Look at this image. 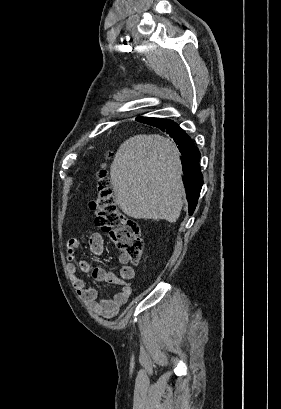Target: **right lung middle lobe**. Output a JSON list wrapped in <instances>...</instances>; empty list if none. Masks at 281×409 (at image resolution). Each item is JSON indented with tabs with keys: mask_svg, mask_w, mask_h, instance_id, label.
I'll list each match as a JSON object with an SVG mask.
<instances>
[{
	"mask_svg": "<svg viewBox=\"0 0 281 409\" xmlns=\"http://www.w3.org/2000/svg\"><path fill=\"white\" fill-rule=\"evenodd\" d=\"M145 123L158 127L161 130H164L167 126L173 124L174 122L171 120H165V119H160V118H151L147 120Z\"/></svg>",
	"mask_w": 281,
	"mask_h": 409,
	"instance_id": "obj_1",
	"label": "right lung middle lobe"
}]
</instances>
